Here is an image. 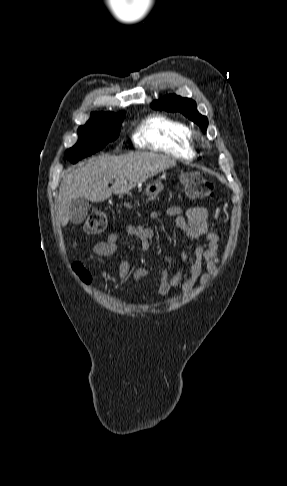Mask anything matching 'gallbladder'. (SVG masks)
<instances>
[{"mask_svg": "<svg viewBox=\"0 0 287 486\" xmlns=\"http://www.w3.org/2000/svg\"><path fill=\"white\" fill-rule=\"evenodd\" d=\"M90 207L87 199H73L70 205V222L75 225L82 223L88 216Z\"/></svg>", "mask_w": 287, "mask_h": 486, "instance_id": "bac80fb5", "label": "gallbladder"}]
</instances>
